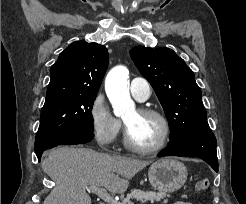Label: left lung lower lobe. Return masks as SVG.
<instances>
[{
    "mask_svg": "<svg viewBox=\"0 0 246 204\" xmlns=\"http://www.w3.org/2000/svg\"><path fill=\"white\" fill-rule=\"evenodd\" d=\"M163 156L198 157L218 172L216 138L210 127L189 131L172 139L168 147L158 154Z\"/></svg>",
    "mask_w": 246,
    "mask_h": 204,
    "instance_id": "0a47b994",
    "label": "left lung lower lobe"
}]
</instances>
